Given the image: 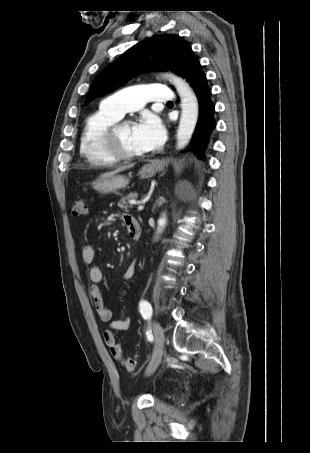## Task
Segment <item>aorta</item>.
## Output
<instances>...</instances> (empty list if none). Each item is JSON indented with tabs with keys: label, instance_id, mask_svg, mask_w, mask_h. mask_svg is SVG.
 <instances>
[{
	"label": "aorta",
	"instance_id": "obj_1",
	"mask_svg": "<svg viewBox=\"0 0 310 453\" xmlns=\"http://www.w3.org/2000/svg\"><path fill=\"white\" fill-rule=\"evenodd\" d=\"M176 88L180 100L182 113L177 130V148H184L190 141L198 120V100L188 83L174 74L164 75ZM166 225V218L163 216L158 221V233L162 232Z\"/></svg>",
	"mask_w": 310,
	"mask_h": 453
}]
</instances>
